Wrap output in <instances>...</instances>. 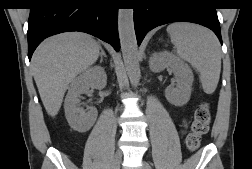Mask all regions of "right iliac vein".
<instances>
[{
	"label": "right iliac vein",
	"mask_w": 252,
	"mask_h": 169,
	"mask_svg": "<svg viewBox=\"0 0 252 169\" xmlns=\"http://www.w3.org/2000/svg\"><path fill=\"white\" fill-rule=\"evenodd\" d=\"M121 156H122L121 152L118 150L116 152V155H115V159H114L112 169H119V163H120V160H121Z\"/></svg>",
	"instance_id": "obj_1"
}]
</instances>
